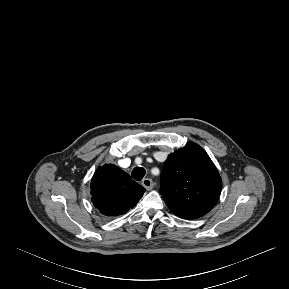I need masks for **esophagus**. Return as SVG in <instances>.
Wrapping results in <instances>:
<instances>
[{
    "label": "esophagus",
    "mask_w": 289,
    "mask_h": 289,
    "mask_svg": "<svg viewBox=\"0 0 289 289\" xmlns=\"http://www.w3.org/2000/svg\"><path fill=\"white\" fill-rule=\"evenodd\" d=\"M142 185L146 188V190H151L154 186L153 181L149 178L143 179Z\"/></svg>",
    "instance_id": "obj_1"
}]
</instances>
